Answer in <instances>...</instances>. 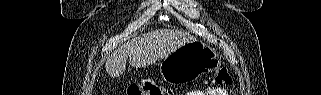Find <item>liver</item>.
Wrapping results in <instances>:
<instances>
[{
    "instance_id": "obj_1",
    "label": "liver",
    "mask_w": 321,
    "mask_h": 95,
    "mask_svg": "<svg viewBox=\"0 0 321 95\" xmlns=\"http://www.w3.org/2000/svg\"><path fill=\"white\" fill-rule=\"evenodd\" d=\"M195 40L194 36L181 30L162 29L143 34L111 54L105 63L106 72L112 78L119 77L125 71L128 57L131 66L145 67Z\"/></svg>"
}]
</instances>
